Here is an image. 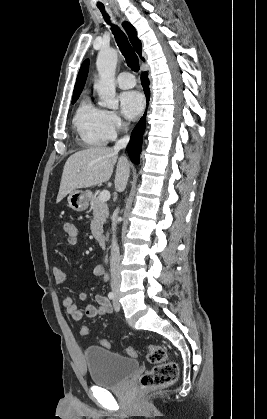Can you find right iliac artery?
Listing matches in <instances>:
<instances>
[{"label": "right iliac artery", "instance_id": "obj_1", "mask_svg": "<svg viewBox=\"0 0 267 419\" xmlns=\"http://www.w3.org/2000/svg\"><path fill=\"white\" fill-rule=\"evenodd\" d=\"M108 297H109V299H114V293L113 292H109Z\"/></svg>", "mask_w": 267, "mask_h": 419}]
</instances>
